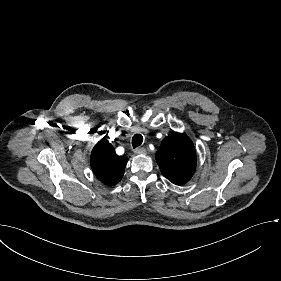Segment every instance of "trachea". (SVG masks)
<instances>
[{
	"instance_id": "trachea-1",
	"label": "trachea",
	"mask_w": 281,
	"mask_h": 281,
	"mask_svg": "<svg viewBox=\"0 0 281 281\" xmlns=\"http://www.w3.org/2000/svg\"><path fill=\"white\" fill-rule=\"evenodd\" d=\"M143 142V136L141 134H135L132 138V146L133 148H137Z\"/></svg>"
}]
</instances>
